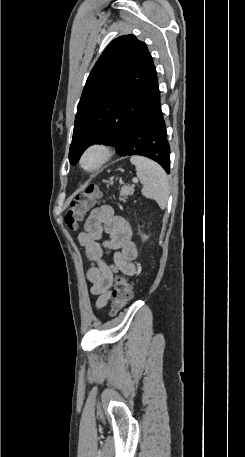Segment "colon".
I'll return each instance as SVG.
<instances>
[{
	"mask_svg": "<svg viewBox=\"0 0 245 457\" xmlns=\"http://www.w3.org/2000/svg\"><path fill=\"white\" fill-rule=\"evenodd\" d=\"M99 195V186L90 185L85 192L77 195L70 202L65 214V222L69 228L75 229L78 226L85 212L90 208ZM132 295L133 290L131 282L124 277H118L111 295L112 311L115 313L122 309L124 305L131 300Z\"/></svg>",
	"mask_w": 245,
	"mask_h": 457,
	"instance_id": "colon-1",
	"label": "colon"
}]
</instances>
